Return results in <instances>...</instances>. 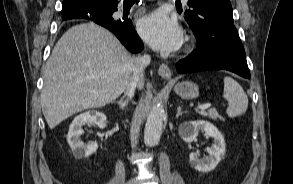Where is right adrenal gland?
Wrapping results in <instances>:
<instances>
[{"label":"right adrenal gland","instance_id":"obj_1","mask_svg":"<svg viewBox=\"0 0 293 184\" xmlns=\"http://www.w3.org/2000/svg\"><path fill=\"white\" fill-rule=\"evenodd\" d=\"M116 103L119 105V108H120L121 110H124V109L127 107L128 100H127V99H124V97H122V98L120 99V101H117Z\"/></svg>","mask_w":293,"mask_h":184}]
</instances>
